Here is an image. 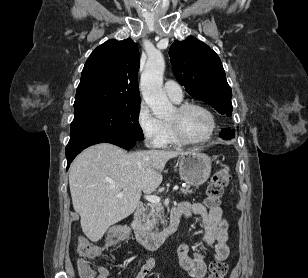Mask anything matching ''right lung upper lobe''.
Wrapping results in <instances>:
<instances>
[{"label": "right lung upper lobe", "mask_w": 308, "mask_h": 278, "mask_svg": "<svg viewBox=\"0 0 308 278\" xmlns=\"http://www.w3.org/2000/svg\"><path fill=\"white\" fill-rule=\"evenodd\" d=\"M139 51L131 39L108 40L86 61L77 88L74 115L140 104Z\"/></svg>", "instance_id": "right-lung-upper-lobe-1"}]
</instances>
